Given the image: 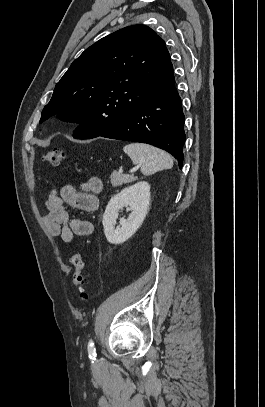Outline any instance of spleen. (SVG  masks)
Wrapping results in <instances>:
<instances>
[{"label": "spleen", "instance_id": "obj_1", "mask_svg": "<svg viewBox=\"0 0 265 407\" xmlns=\"http://www.w3.org/2000/svg\"><path fill=\"white\" fill-rule=\"evenodd\" d=\"M123 151L135 165L140 166L143 175L173 167V159L168 153L145 143H130L124 146Z\"/></svg>", "mask_w": 265, "mask_h": 407}]
</instances>
